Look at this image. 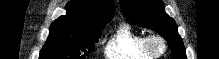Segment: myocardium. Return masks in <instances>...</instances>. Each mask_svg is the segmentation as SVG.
Returning <instances> with one entry per match:
<instances>
[{
    "instance_id": "f54148a6",
    "label": "myocardium",
    "mask_w": 219,
    "mask_h": 59,
    "mask_svg": "<svg viewBox=\"0 0 219 59\" xmlns=\"http://www.w3.org/2000/svg\"><path fill=\"white\" fill-rule=\"evenodd\" d=\"M155 44L160 45V49H155ZM145 48L153 58H159L166 54L168 50L167 40L160 34H150L145 36Z\"/></svg>"
}]
</instances>
